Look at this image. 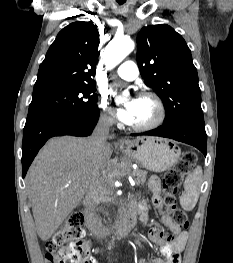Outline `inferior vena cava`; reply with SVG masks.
<instances>
[{
  "instance_id": "obj_1",
  "label": "inferior vena cava",
  "mask_w": 233,
  "mask_h": 263,
  "mask_svg": "<svg viewBox=\"0 0 233 263\" xmlns=\"http://www.w3.org/2000/svg\"><path fill=\"white\" fill-rule=\"evenodd\" d=\"M112 124L113 118L107 115H102L99 118L94 132L90 138L98 162H101L103 159V152L107 147L109 128ZM97 180L98 178L89 186L84 201L86 209L92 214H96V210L100 201V189L97 186Z\"/></svg>"
}]
</instances>
